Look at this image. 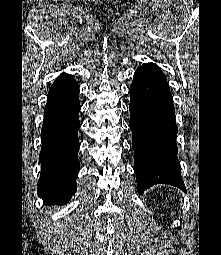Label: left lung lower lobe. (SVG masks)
<instances>
[{
	"label": "left lung lower lobe",
	"mask_w": 221,
	"mask_h": 255,
	"mask_svg": "<svg viewBox=\"0 0 221 255\" xmlns=\"http://www.w3.org/2000/svg\"><path fill=\"white\" fill-rule=\"evenodd\" d=\"M130 94L138 192L160 183L186 192L177 158L175 109L165 75L156 64H143L134 74Z\"/></svg>",
	"instance_id": "1"
}]
</instances>
